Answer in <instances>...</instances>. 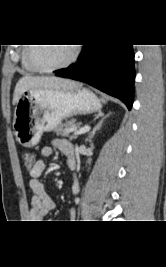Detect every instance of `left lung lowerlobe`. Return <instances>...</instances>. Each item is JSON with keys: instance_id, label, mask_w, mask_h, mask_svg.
I'll use <instances>...</instances> for the list:
<instances>
[{"instance_id": "left-lung-lower-lobe-1", "label": "left lung lower lobe", "mask_w": 166, "mask_h": 267, "mask_svg": "<svg viewBox=\"0 0 166 267\" xmlns=\"http://www.w3.org/2000/svg\"><path fill=\"white\" fill-rule=\"evenodd\" d=\"M78 59L77 64L54 71L56 76L87 83L131 109L135 80L132 45H84Z\"/></svg>"}]
</instances>
